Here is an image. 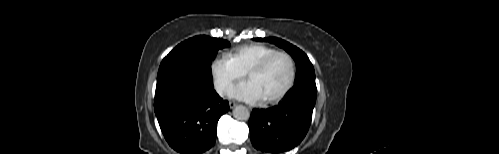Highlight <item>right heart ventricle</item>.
<instances>
[{
	"label": "right heart ventricle",
	"instance_id": "right-heart-ventricle-1",
	"mask_svg": "<svg viewBox=\"0 0 499 154\" xmlns=\"http://www.w3.org/2000/svg\"><path fill=\"white\" fill-rule=\"evenodd\" d=\"M274 51H276L275 48L265 44L249 43L234 48L227 53V57L245 73L250 67Z\"/></svg>",
	"mask_w": 499,
	"mask_h": 154
}]
</instances>
